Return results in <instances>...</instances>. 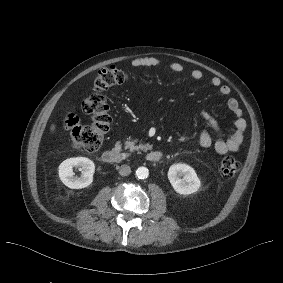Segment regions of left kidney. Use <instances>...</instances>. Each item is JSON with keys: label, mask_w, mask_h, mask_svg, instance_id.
I'll list each match as a JSON object with an SVG mask.
<instances>
[{"label": "left kidney", "mask_w": 283, "mask_h": 283, "mask_svg": "<svg viewBox=\"0 0 283 283\" xmlns=\"http://www.w3.org/2000/svg\"><path fill=\"white\" fill-rule=\"evenodd\" d=\"M168 179L173 189L182 195L195 193L201 185L195 170L184 163L171 165L168 170Z\"/></svg>", "instance_id": "obj_1"}]
</instances>
